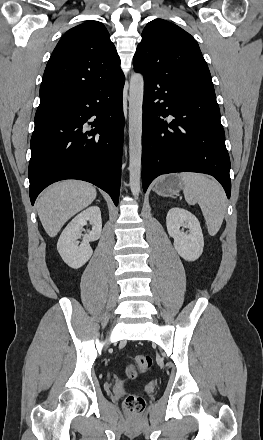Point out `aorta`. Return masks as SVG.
Segmentation results:
<instances>
[{
    "mask_svg": "<svg viewBox=\"0 0 263 440\" xmlns=\"http://www.w3.org/2000/svg\"><path fill=\"white\" fill-rule=\"evenodd\" d=\"M143 95L144 78L134 73L129 89V185L134 197L140 193Z\"/></svg>",
    "mask_w": 263,
    "mask_h": 440,
    "instance_id": "1",
    "label": "aorta"
}]
</instances>
